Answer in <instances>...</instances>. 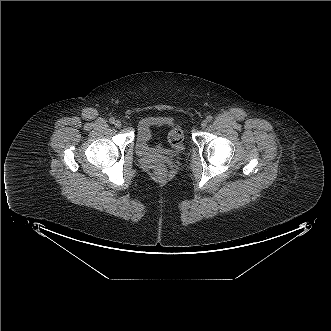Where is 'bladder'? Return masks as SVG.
<instances>
[{
	"label": "bladder",
	"instance_id": "1",
	"mask_svg": "<svg viewBox=\"0 0 331 331\" xmlns=\"http://www.w3.org/2000/svg\"><path fill=\"white\" fill-rule=\"evenodd\" d=\"M171 124L167 118L147 119L140 123L135 138L136 152L140 157L157 159L171 157L185 150L184 142L172 148L163 143L160 130Z\"/></svg>",
	"mask_w": 331,
	"mask_h": 331
}]
</instances>
